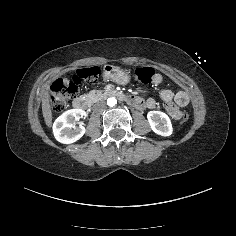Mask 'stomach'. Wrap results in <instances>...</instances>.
Returning a JSON list of instances; mask_svg holds the SVG:
<instances>
[{
	"mask_svg": "<svg viewBox=\"0 0 236 236\" xmlns=\"http://www.w3.org/2000/svg\"><path fill=\"white\" fill-rule=\"evenodd\" d=\"M104 77L119 85H126L130 81V75L128 71L113 65L104 66Z\"/></svg>",
	"mask_w": 236,
	"mask_h": 236,
	"instance_id": "stomach-1",
	"label": "stomach"
}]
</instances>
